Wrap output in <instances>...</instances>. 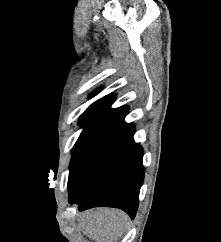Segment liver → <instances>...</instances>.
<instances>
[{
	"mask_svg": "<svg viewBox=\"0 0 221 242\" xmlns=\"http://www.w3.org/2000/svg\"><path fill=\"white\" fill-rule=\"evenodd\" d=\"M128 216L118 209L100 208L82 213L79 226L95 242H117L125 231Z\"/></svg>",
	"mask_w": 221,
	"mask_h": 242,
	"instance_id": "obj_1",
	"label": "liver"
}]
</instances>
